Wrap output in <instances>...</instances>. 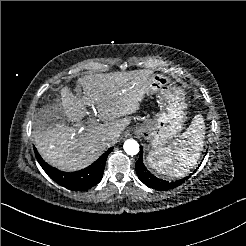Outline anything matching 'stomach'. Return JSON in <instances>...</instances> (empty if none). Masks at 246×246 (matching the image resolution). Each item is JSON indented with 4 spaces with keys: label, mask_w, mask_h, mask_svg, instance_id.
Here are the masks:
<instances>
[{
    "label": "stomach",
    "mask_w": 246,
    "mask_h": 246,
    "mask_svg": "<svg viewBox=\"0 0 246 246\" xmlns=\"http://www.w3.org/2000/svg\"><path fill=\"white\" fill-rule=\"evenodd\" d=\"M148 91L159 99L161 111L154 119L136 126L134 134L148 140L156 151H160L178 136L184 126L186 97L180 88L162 75L153 78Z\"/></svg>",
    "instance_id": "1"
}]
</instances>
